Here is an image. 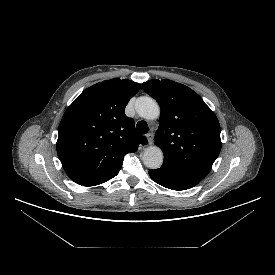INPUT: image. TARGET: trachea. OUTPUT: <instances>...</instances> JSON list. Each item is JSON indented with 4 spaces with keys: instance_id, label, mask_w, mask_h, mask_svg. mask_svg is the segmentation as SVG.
<instances>
[{
    "instance_id": "3493384b",
    "label": "trachea",
    "mask_w": 275,
    "mask_h": 275,
    "mask_svg": "<svg viewBox=\"0 0 275 275\" xmlns=\"http://www.w3.org/2000/svg\"><path fill=\"white\" fill-rule=\"evenodd\" d=\"M136 130L140 134H146L149 131V127L145 121H139L136 124Z\"/></svg>"
}]
</instances>
